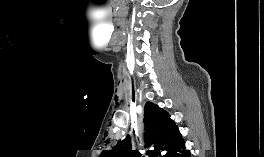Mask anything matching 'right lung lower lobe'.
Instances as JSON below:
<instances>
[{
    "label": "right lung lower lobe",
    "instance_id": "obj_1",
    "mask_svg": "<svg viewBox=\"0 0 264 157\" xmlns=\"http://www.w3.org/2000/svg\"><path fill=\"white\" fill-rule=\"evenodd\" d=\"M163 157H191V154L185 148L184 140L181 139Z\"/></svg>",
    "mask_w": 264,
    "mask_h": 157
}]
</instances>
